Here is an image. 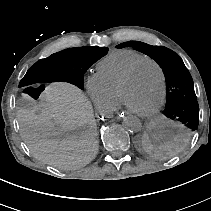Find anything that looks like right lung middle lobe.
<instances>
[{
	"label": "right lung middle lobe",
	"instance_id": "1",
	"mask_svg": "<svg viewBox=\"0 0 211 211\" xmlns=\"http://www.w3.org/2000/svg\"><path fill=\"white\" fill-rule=\"evenodd\" d=\"M107 52V47L66 49L38 61L30 72L34 82L66 81L83 89L84 73Z\"/></svg>",
	"mask_w": 211,
	"mask_h": 211
}]
</instances>
